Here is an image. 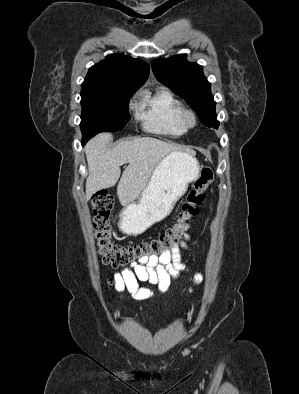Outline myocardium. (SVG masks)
Returning <instances> with one entry per match:
<instances>
[{"instance_id": "f54148a6", "label": "myocardium", "mask_w": 299, "mask_h": 394, "mask_svg": "<svg viewBox=\"0 0 299 394\" xmlns=\"http://www.w3.org/2000/svg\"><path fill=\"white\" fill-rule=\"evenodd\" d=\"M181 124L188 130L192 129L197 125V115L190 109H183L180 116Z\"/></svg>"}]
</instances>
